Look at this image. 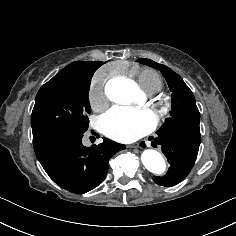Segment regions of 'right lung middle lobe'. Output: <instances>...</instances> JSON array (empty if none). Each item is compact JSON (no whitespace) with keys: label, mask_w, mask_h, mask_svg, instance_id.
Wrapping results in <instances>:
<instances>
[{"label":"right lung middle lobe","mask_w":236,"mask_h":236,"mask_svg":"<svg viewBox=\"0 0 236 236\" xmlns=\"http://www.w3.org/2000/svg\"><path fill=\"white\" fill-rule=\"evenodd\" d=\"M92 75H55L40 88L31 116L33 136L54 130H87Z\"/></svg>","instance_id":"1"}]
</instances>
